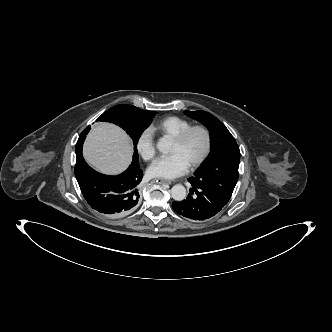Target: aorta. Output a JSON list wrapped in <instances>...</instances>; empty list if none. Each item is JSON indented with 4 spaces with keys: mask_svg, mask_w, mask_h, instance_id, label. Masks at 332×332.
Here are the masks:
<instances>
[{
    "mask_svg": "<svg viewBox=\"0 0 332 332\" xmlns=\"http://www.w3.org/2000/svg\"><path fill=\"white\" fill-rule=\"evenodd\" d=\"M168 148V142L164 139H161L157 143V149L160 152H166ZM171 196L175 201H182L186 198V189L183 185L177 184L171 188Z\"/></svg>",
    "mask_w": 332,
    "mask_h": 332,
    "instance_id": "aorta-1",
    "label": "aorta"
}]
</instances>
